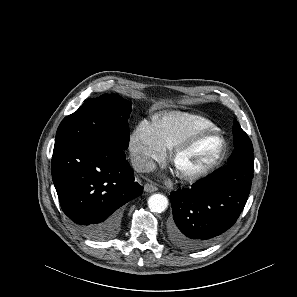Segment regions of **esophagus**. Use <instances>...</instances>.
<instances>
[{
    "label": "esophagus",
    "instance_id": "1",
    "mask_svg": "<svg viewBox=\"0 0 297 297\" xmlns=\"http://www.w3.org/2000/svg\"><path fill=\"white\" fill-rule=\"evenodd\" d=\"M157 187L154 184L147 183L144 185V190L146 192H155L157 191Z\"/></svg>",
    "mask_w": 297,
    "mask_h": 297
}]
</instances>
